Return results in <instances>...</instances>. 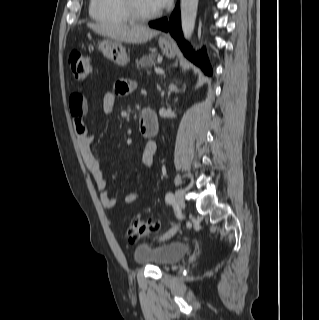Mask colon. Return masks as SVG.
I'll return each instance as SVG.
<instances>
[{
	"instance_id": "1",
	"label": "colon",
	"mask_w": 319,
	"mask_h": 320,
	"mask_svg": "<svg viewBox=\"0 0 319 320\" xmlns=\"http://www.w3.org/2000/svg\"><path fill=\"white\" fill-rule=\"evenodd\" d=\"M69 67L78 80L86 79L92 71L91 57L78 49L71 52L69 57ZM159 230V222L157 220L144 221L141 219H134L125 231V237L134 241L142 236H151Z\"/></svg>"
}]
</instances>
